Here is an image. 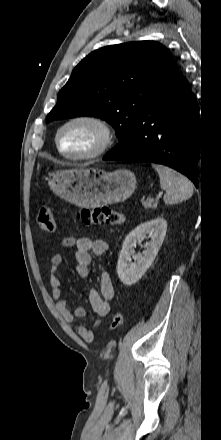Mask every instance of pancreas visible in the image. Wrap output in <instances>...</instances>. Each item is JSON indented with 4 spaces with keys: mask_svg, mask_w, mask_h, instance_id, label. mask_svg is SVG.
Here are the masks:
<instances>
[{
    "mask_svg": "<svg viewBox=\"0 0 221 440\" xmlns=\"http://www.w3.org/2000/svg\"><path fill=\"white\" fill-rule=\"evenodd\" d=\"M142 204L145 209H156V207H157V202L156 201L154 202L151 199H148L146 201H142Z\"/></svg>",
    "mask_w": 221,
    "mask_h": 440,
    "instance_id": "pancreas-1",
    "label": "pancreas"
}]
</instances>
